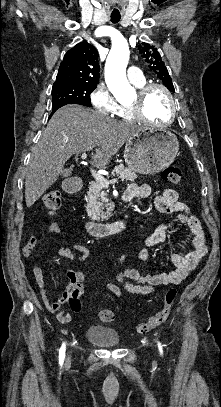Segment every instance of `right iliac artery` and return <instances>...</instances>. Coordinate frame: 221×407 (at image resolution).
<instances>
[{"instance_id":"obj_1","label":"right iliac artery","mask_w":221,"mask_h":407,"mask_svg":"<svg viewBox=\"0 0 221 407\" xmlns=\"http://www.w3.org/2000/svg\"><path fill=\"white\" fill-rule=\"evenodd\" d=\"M65 358V344L63 343L59 351V364L63 365Z\"/></svg>"}]
</instances>
